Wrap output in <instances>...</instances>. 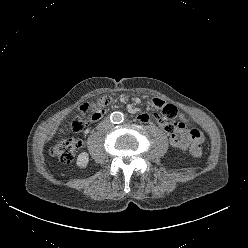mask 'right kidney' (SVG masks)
Instances as JSON below:
<instances>
[{"label": "right kidney", "instance_id": "ca27d5eb", "mask_svg": "<svg viewBox=\"0 0 248 248\" xmlns=\"http://www.w3.org/2000/svg\"><path fill=\"white\" fill-rule=\"evenodd\" d=\"M89 162V156L87 152H81L78 157L76 164L81 168H85Z\"/></svg>", "mask_w": 248, "mask_h": 248}]
</instances>
